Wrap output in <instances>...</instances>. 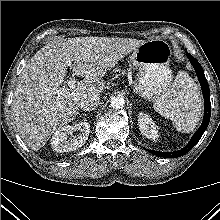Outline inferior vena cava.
<instances>
[{
  "instance_id": "602c4592",
  "label": "inferior vena cava",
  "mask_w": 220,
  "mask_h": 220,
  "mask_svg": "<svg viewBox=\"0 0 220 220\" xmlns=\"http://www.w3.org/2000/svg\"><path fill=\"white\" fill-rule=\"evenodd\" d=\"M99 102L100 96L98 94H91L81 100L79 107L82 111H92L98 107Z\"/></svg>"
}]
</instances>
